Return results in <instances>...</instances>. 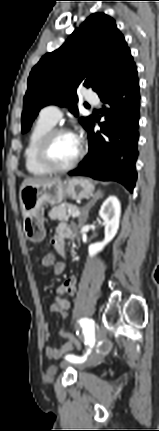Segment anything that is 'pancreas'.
<instances>
[{"label":"pancreas","instance_id":"obj_1","mask_svg":"<svg viewBox=\"0 0 159 431\" xmlns=\"http://www.w3.org/2000/svg\"><path fill=\"white\" fill-rule=\"evenodd\" d=\"M78 210L77 206L63 203L62 205L54 206L49 211V217L51 220L64 221L72 215L74 211Z\"/></svg>","mask_w":159,"mask_h":431}]
</instances>
